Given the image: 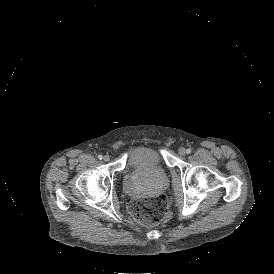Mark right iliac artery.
I'll return each mask as SVG.
<instances>
[{"mask_svg":"<svg viewBox=\"0 0 274 274\" xmlns=\"http://www.w3.org/2000/svg\"><path fill=\"white\" fill-rule=\"evenodd\" d=\"M102 158H103V155L99 154V155H98V159L101 160Z\"/></svg>","mask_w":274,"mask_h":274,"instance_id":"right-iliac-artery-1","label":"right iliac artery"}]
</instances>
